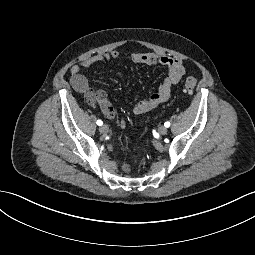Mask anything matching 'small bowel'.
<instances>
[{
    "instance_id": "obj_1",
    "label": "small bowel",
    "mask_w": 255,
    "mask_h": 255,
    "mask_svg": "<svg viewBox=\"0 0 255 255\" xmlns=\"http://www.w3.org/2000/svg\"><path fill=\"white\" fill-rule=\"evenodd\" d=\"M118 57L119 52L113 50L109 53L93 55L70 68V83L72 87L77 92L84 94L85 100L89 105H99L104 114L109 118L115 116V110L108 100L106 92L103 90L94 91L90 87L87 78L81 74V70L83 68H90L99 63L117 59ZM131 59L134 63L162 65L168 69V76L160 85L159 89L148 98L134 105L133 112L135 114H143L169 100L172 87L181 81L185 69L181 60L163 53L136 52L131 55ZM125 127L126 122L123 119L121 121V128L124 130ZM121 168L126 172L130 170L127 164H122Z\"/></svg>"
}]
</instances>
